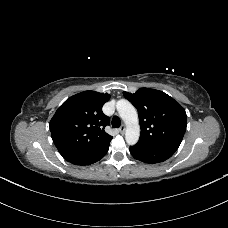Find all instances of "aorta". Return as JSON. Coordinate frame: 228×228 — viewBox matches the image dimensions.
Here are the masks:
<instances>
[{
    "label": "aorta",
    "instance_id": "aorta-1",
    "mask_svg": "<svg viewBox=\"0 0 228 228\" xmlns=\"http://www.w3.org/2000/svg\"><path fill=\"white\" fill-rule=\"evenodd\" d=\"M116 108L126 125L125 140L127 144L135 145L140 136V125L136 109L125 99L117 101Z\"/></svg>",
    "mask_w": 228,
    "mask_h": 228
}]
</instances>
